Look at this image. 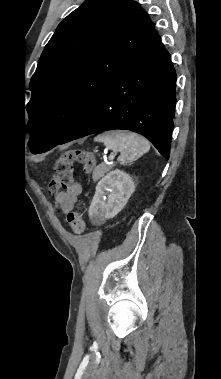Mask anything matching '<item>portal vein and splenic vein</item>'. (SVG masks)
<instances>
[{"instance_id":"1","label":"portal vein and splenic vein","mask_w":221,"mask_h":379,"mask_svg":"<svg viewBox=\"0 0 221 379\" xmlns=\"http://www.w3.org/2000/svg\"><path fill=\"white\" fill-rule=\"evenodd\" d=\"M108 160H109L110 162H112V161L114 160V156H109V157H108Z\"/></svg>"}]
</instances>
